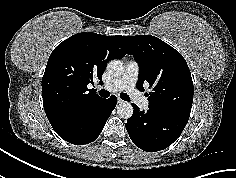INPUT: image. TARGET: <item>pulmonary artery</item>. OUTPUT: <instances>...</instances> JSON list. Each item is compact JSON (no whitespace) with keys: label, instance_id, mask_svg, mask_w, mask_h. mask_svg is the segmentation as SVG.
I'll return each instance as SVG.
<instances>
[{"label":"pulmonary artery","instance_id":"pulmonary-artery-1","mask_svg":"<svg viewBox=\"0 0 236 178\" xmlns=\"http://www.w3.org/2000/svg\"><path fill=\"white\" fill-rule=\"evenodd\" d=\"M139 73L140 68L138 63L132 60L128 61L125 65V72L122 77L105 84L103 89L108 92L125 90L137 105L146 109L149 106L148 99L136 88Z\"/></svg>","mask_w":236,"mask_h":178}]
</instances>
